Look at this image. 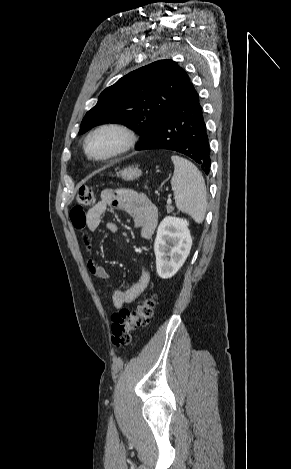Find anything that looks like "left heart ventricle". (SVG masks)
I'll return each instance as SVG.
<instances>
[{
  "label": "left heart ventricle",
  "mask_w": 291,
  "mask_h": 469,
  "mask_svg": "<svg viewBox=\"0 0 291 469\" xmlns=\"http://www.w3.org/2000/svg\"><path fill=\"white\" fill-rule=\"evenodd\" d=\"M120 143V135L117 132L106 130L91 137L88 150L93 156H105L112 152Z\"/></svg>",
  "instance_id": "b2bd125f"
}]
</instances>
